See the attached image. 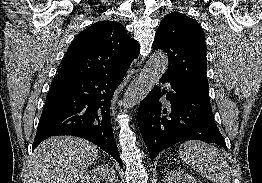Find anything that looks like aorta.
<instances>
[{
	"mask_svg": "<svg viewBox=\"0 0 262 183\" xmlns=\"http://www.w3.org/2000/svg\"><path fill=\"white\" fill-rule=\"evenodd\" d=\"M168 68V57L162 51L154 52L146 62L139 76L131 83L124 94V108L140 103L158 83Z\"/></svg>",
	"mask_w": 262,
	"mask_h": 183,
	"instance_id": "obj_1",
	"label": "aorta"
}]
</instances>
